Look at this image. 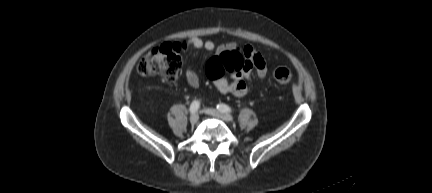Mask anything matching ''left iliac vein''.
Segmentation results:
<instances>
[{
  "mask_svg": "<svg viewBox=\"0 0 432 193\" xmlns=\"http://www.w3.org/2000/svg\"><path fill=\"white\" fill-rule=\"evenodd\" d=\"M205 112H206L208 115H210V116H213V117L219 118V119H221V120H223V121H226V122H231V121H233V117H232V115H230V114H228V113H224V112H222V111H220V110H217V109L207 108V109L205 110Z\"/></svg>",
  "mask_w": 432,
  "mask_h": 193,
  "instance_id": "left-iliac-vein-1",
  "label": "left iliac vein"
}]
</instances>
